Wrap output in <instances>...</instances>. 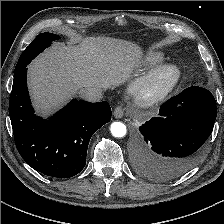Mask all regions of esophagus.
Segmentation results:
<instances>
[{"mask_svg":"<svg viewBox=\"0 0 224 224\" xmlns=\"http://www.w3.org/2000/svg\"><path fill=\"white\" fill-rule=\"evenodd\" d=\"M114 116L116 118H122L124 116V109L120 106L116 107L114 110Z\"/></svg>","mask_w":224,"mask_h":224,"instance_id":"1","label":"esophagus"}]
</instances>
